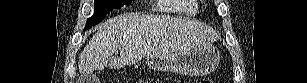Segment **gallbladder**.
Wrapping results in <instances>:
<instances>
[{"label": "gallbladder", "instance_id": "gallbladder-1", "mask_svg": "<svg viewBox=\"0 0 307 83\" xmlns=\"http://www.w3.org/2000/svg\"><path fill=\"white\" fill-rule=\"evenodd\" d=\"M86 81H87V82H91V83H93L94 79H93V78H91V77H87Z\"/></svg>", "mask_w": 307, "mask_h": 83}]
</instances>
